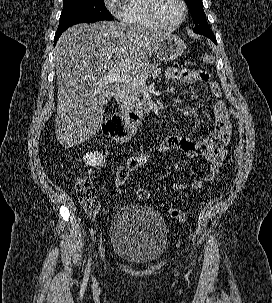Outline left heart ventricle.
Returning a JSON list of instances; mask_svg holds the SVG:
<instances>
[{
    "label": "left heart ventricle",
    "instance_id": "left-heart-ventricle-1",
    "mask_svg": "<svg viewBox=\"0 0 272 303\" xmlns=\"http://www.w3.org/2000/svg\"><path fill=\"white\" fill-rule=\"evenodd\" d=\"M182 14V7L178 0H160L158 15L167 24L176 22Z\"/></svg>",
    "mask_w": 272,
    "mask_h": 303
}]
</instances>
